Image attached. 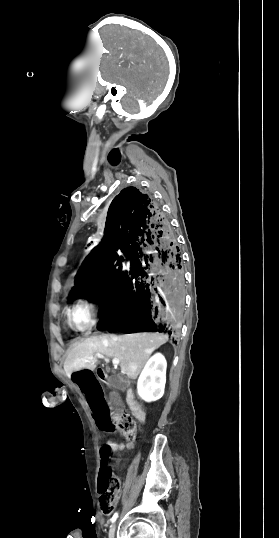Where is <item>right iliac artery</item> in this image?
Segmentation results:
<instances>
[{"label":"right iliac artery","mask_w":279,"mask_h":538,"mask_svg":"<svg viewBox=\"0 0 279 538\" xmlns=\"http://www.w3.org/2000/svg\"><path fill=\"white\" fill-rule=\"evenodd\" d=\"M117 517H118V512H116V513L112 516V518H111V522H114V521L117 519Z\"/></svg>","instance_id":"82829eb1"}]
</instances>
